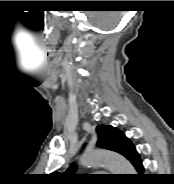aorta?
I'll return each mask as SVG.
<instances>
[{
    "label": "aorta",
    "mask_w": 174,
    "mask_h": 184,
    "mask_svg": "<svg viewBox=\"0 0 174 184\" xmlns=\"http://www.w3.org/2000/svg\"><path fill=\"white\" fill-rule=\"evenodd\" d=\"M80 163L86 167L103 165L113 174H134V169L122 155L106 150L86 151L80 158Z\"/></svg>",
    "instance_id": "obj_1"
}]
</instances>
